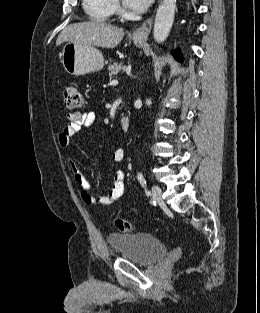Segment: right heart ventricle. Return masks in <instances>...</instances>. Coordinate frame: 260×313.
<instances>
[{"instance_id":"1","label":"right heart ventricle","mask_w":260,"mask_h":313,"mask_svg":"<svg viewBox=\"0 0 260 313\" xmlns=\"http://www.w3.org/2000/svg\"><path fill=\"white\" fill-rule=\"evenodd\" d=\"M83 6L94 21L106 22L115 10V0H83Z\"/></svg>"}]
</instances>
